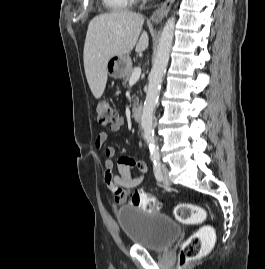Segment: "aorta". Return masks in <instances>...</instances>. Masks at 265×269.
Segmentation results:
<instances>
[{
    "instance_id": "762f6f07",
    "label": "aorta",
    "mask_w": 265,
    "mask_h": 269,
    "mask_svg": "<svg viewBox=\"0 0 265 269\" xmlns=\"http://www.w3.org/2000/svg\"><path fill=\"white\" fill-rule=\"evenodd\" d=\"M174 29L175 18L171 17L165 23L161 33L154 64L148 77V90L141 115L143 137L149 146L151 156L154 158L159 157V147L153 133L154 111L170 58Z\"/></svg>"
}]
</instances>
